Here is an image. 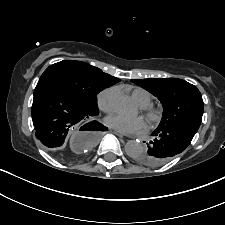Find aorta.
I'll list each match as a JSON object with an SVG mask.
<instances>
[{"mask_svg": "<svg viewBox=\"0 0 225 225\" xmlns=\"http://www.w3.org/2000/svg\"><path fill=\"white\" fill-rule=\"evenodd\" d=\"M114 109L118 112H126L131 108V101L121 90H116L111 98ZM145 151L142 143L138 141H128L125 145V152L128 156L136 158Z\"/></svg>", "mask_w": 225, "mask_h": 225, "instance_id": "762f6f07", "label": "aorta"}]
</instances>
